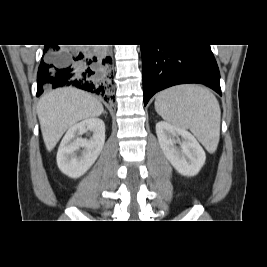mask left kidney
I'll return each instance as SVG.
<instances>
[{"label": "left kidney", "instance_id": "1", "mask_svg": "<svg viewBox=\"0 0 267 267\" xmlns=\"http://www.w3.org/2000/svg\"><path fill=\"white\" fill-rule=\"evenodd\" d=\"M156 134L164 155L180 174L184 176L198 174L205 163L206 155L190 132L160 121L156 124Z\"/></svg>", "mask_w": 267, "mask_h": 267}]
</instances>
